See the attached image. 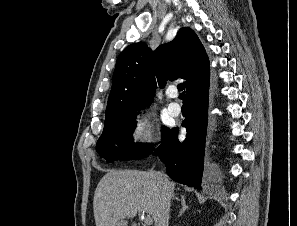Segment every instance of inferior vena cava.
<instances>
[{"mask_svg": "<svg viewBox=\"0 0 297 226\" xmlns=\"http://www.w3.org/2000/svg\"><path fill=\"white\" fill-rule=\"evenodd\" d=\"M159 177L163 180L164 184H167L169 182L168 177L164 173H158ZM172 197H174V194H172Z\"/></svg>", "mask_w": 297, "mask_h": 226, "instance_id": "obj_1", "label": "inferior vena cava"}]
</instances>
